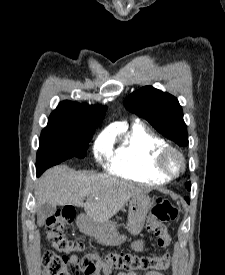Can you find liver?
<instances>
[{
    "label": "liver",
    "mask_w": 225,
    "mask_h": 275,
    "mask_svg": "<svg viewBox=\"0 0 225 275\" xmlns=\"http://www.w3.org/2000/svg\"><path fill=\"white\" fill-rule=\"evenodd\" d=\"M146 190L108 174L75 171L65 165L47 170L39 179L35 191L36 206L84 207L87 217L96 223H106L130 198ZM84 198H87L84 203Z\"/></svg>",
    "instance_id": "6515ba94"
}]
</instances>
